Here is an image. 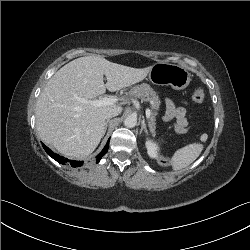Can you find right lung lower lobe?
<instances>
[{"instance_id":"obj_1","label":"right lung lower lobe","mask_w":250,"mask_h":250,"mask_svg":"<svg viewBox=\"0 0 250 250\" xmlns=\"http://www.w3.org/2000/svg\"><path fill=\"white\" fill-rule=\"evenodd\" d=\"M43 148L47 152L49 156H51L53 159H55L58 163L65 164L67 162H70V165L72 167H78L83 164V161H69L67 158H64L58 154L53 153L48 147H46L44 144H42ZM109 148V143L106 144V146L103 148V150L96 156L97 158V163L101 160L103 155H105L108 151Z\"/></svg>"}]
</instances>
